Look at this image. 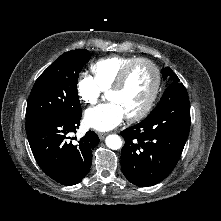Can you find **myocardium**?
<instances>
[{
	"label": "myocardium",
	"mask_w": 221,
	"mask_h": 221,
	"mask_svg": "<svg viewBox=\"0 0 221 221\" xmlns=\"http://www.w3.org/2000/svg\"><path fill=\"white\" fill-rule=\"evenodd\" d=\"M140 63L146 64L152 69V71L154 73V85H153V89H152V92L150 94V97L147 100L144 107L139 112H137L136 114H133L131 116L126 117L129 122H137V121H140V120L144 119L150 113V111L152 110V108H153V106H154V104H155V102L158 98V95L160 93V89H161L162 78H161V72H160L159 67L157 66V64L154 61H152L148 58H144V57L135 58L133 61L128 63L122 69V71L119 73L116 81L114 82V84L108 90V93L112 92V91L121 90L125 86V84L127 82V79L129 77L130 72L132 71V69L137 64H140Z\"/></svg>",
	"instance_id": "f54148a6"
}]
</instances>
